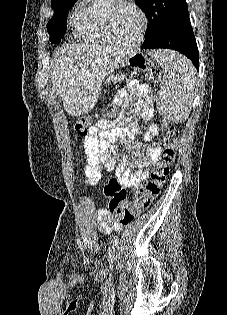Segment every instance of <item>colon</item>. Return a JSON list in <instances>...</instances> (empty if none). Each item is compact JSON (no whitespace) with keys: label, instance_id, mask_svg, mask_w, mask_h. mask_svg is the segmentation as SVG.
<instances>
[{"label":"colon","instance_id":"obj_1","mask_svg":"<svg viewBox=\"0 0 227 315\" xmlns=\"http://www.w3.org/2000/svg\"><path fill=\"white\" fill-rule=\"evenodd\" d=\"M131 65L134 69L147 70L153 83L160 81V70L147 58L135 56ZM92 127L89 116H81L75 123V132L80 136H87ZM164 149L160 159L153 165L149 179L137 189L131 201L127 200L125 188L116 180L111 179L105 186V195L108 198V210L122 225L129 224L136 216L147 209L160 194L161 188L169 174L170 168L176 159V149L180 140L179 130L163 124Z\"/></svg>","mask_w":227,"mask_h":315}]
</instances>
